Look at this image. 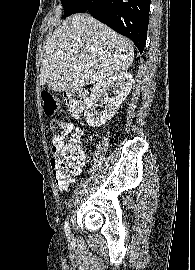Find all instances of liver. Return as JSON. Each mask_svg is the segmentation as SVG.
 <instances>
[{"mask_svg": "<svg viewBox=\"0 0 195 270\" xmlns=\"http://www.w3.org/2000/svg\"><path fill=\"white\" fill-rule=\"evenodd\" d=\"M133 60L129 39L89 14H74L47 38L40 83L55 92L68 91L118 76Z\"/></svg>", "mask_w": 195, "mask_h": 270, "instance_id": "1", "label": "liver"}]
</instances>
